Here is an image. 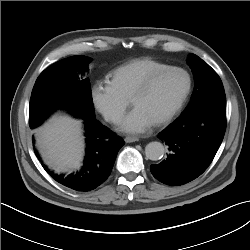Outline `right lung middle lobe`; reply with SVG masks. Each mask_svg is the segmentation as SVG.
I'll list each match as a JSON object with an SVG mask.
<instances>
[{"label": "right lung middle lobe", "instance_id": "obj_1", "mask_svg": "<svg viewBox=\"0 0 250 250\" xmlns=\"http://www.w3.org/2000/svg\"><path fill=\"white\" fill-rule=\"evenodd\" d=\"M90 57L72 56L45 69L33 87L29 105V126L36 128L56 109H65L72 115L95 118L88 71Z\"/></svg>", "mask_w": 250, "mask_h": 250}]
</instances>
